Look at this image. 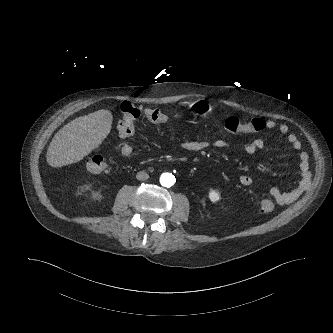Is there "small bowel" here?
<instances>
[{
    "label": "small bowel",
    "mask_w": 333,
    "mask_h": 333,
    "mask_svg": "<svg viewBox=\"0 0 333 333\" xmlns=\"http://www.w3.org/2000/svg\"><path fill=\"white\" fill-rule=\"evenodd\" d=\"M266 128L268 130H277L281 135L285 136L290 146L298 151V162L301 171V181L298 185L290 191H282L277 187L269 189L268 194L272 197L278 205L284 206L295 201L303 192L305 182L309 174V157L306 152L301 151L302 143L298 137L291 133L289 127L286 124H278L274 120H268L266 122ZM121 138V137H120ZM123 141L117 146V151L120 155L125 157H133L138 152V147L133 142L124 141L127 138H121ZM231 141L226 139H217L215 141L195 140L185 141L176 145V148L186 152H196L209 147L223 149L231 145ZM265 146V140L263 137H257L251 141L244 142L240 145L241 150L245 154H255L261 151ZM238 181L243 186H251L254 182L250 175L243 174L238 177Z\"/></svg>",
    "instance_id": "c3829d8e"
}]
</instances>
